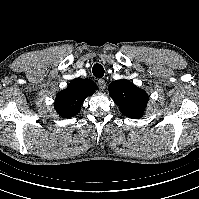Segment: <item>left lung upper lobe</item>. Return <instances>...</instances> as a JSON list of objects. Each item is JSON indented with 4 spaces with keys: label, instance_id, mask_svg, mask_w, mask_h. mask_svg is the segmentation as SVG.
<instances>
[{
    "label": "left lung upper lobe",
    "instance_id": "1",
    "mask_svg": "<svg viewBox=\"0 0 199 199\" xmlns=\"http://www.w3.org/2000/svg\"><path fill=\"white\" fill-rule=\"evenodd\" d=\"M108 90L124 116L139 118L143 115L148 102V95L144 90L126 79L111 82Z\"/></svg>",
    "mask_w": 199,
    "mask_h": 199
}]
</instances>
